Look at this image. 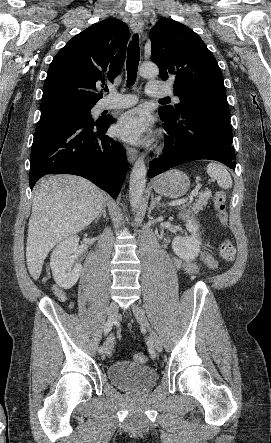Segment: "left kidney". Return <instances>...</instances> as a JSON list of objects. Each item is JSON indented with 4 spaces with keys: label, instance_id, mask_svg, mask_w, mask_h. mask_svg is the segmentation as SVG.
<instances>
[{
    "label": "left kidney",
    "instance_id": "obj_1",
    "mask_svg": "<svg viewBox=\"0 0 271 443\" xmlns=\"http://www.w3.org/2000/svg\"><path fill=\"white\" fill-rule=\"evenodd\" d=\"M183 220L186 222V227L188 231H191L192 235H187V237H181L177 235L172 241V249L178 257L184 259V261H193L197 257L200 251V237L198 231V223L195 222L194 218L190 216H185L182 214Z\"/></svg>",
    "mask_w": 271,
    "mask_h": 443
}]
</instances>
